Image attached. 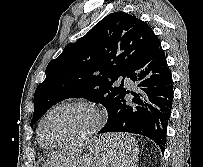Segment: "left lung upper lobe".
Returning <instances> with one entry per match:
<instances>
[{"label":"left lung upper lobe","instance_id":"5c2ea615","mask_svg":"<svg viewBox=\"0 0 203 167\" xmlns=\"http://www.w3.org/2000/svg\"><path fill=\"white\" fill-rule=\"evenodd\" d=\"M158 38L140 19L114 12L104 17L85 36L67 45L49 62L46 78L34 94L33 126L56 103L81 97L102 104L110 115L126 90L116 85L127 77L136 61Z\"/></svg>","mask_w":203,"mask_h":167}]
</instances>
